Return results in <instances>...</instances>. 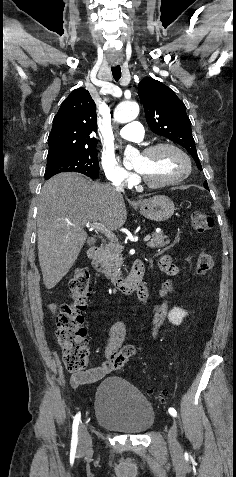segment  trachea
<instances>
[{"instance_id": "3493384b", "label": "trachea", "mask_w": 236, "mask_h": 477, "mask_svg": "<svg viewBox=\"0 0 236 477\" xmlns=\"http://www.w3.org/2000/svg\"><path fill=\"white\" fill-rule=\"evenodd\" d=\"M113 78L118 81L121 78V68L119 65L111 68Z\"/></svg>"}]
</instances>
